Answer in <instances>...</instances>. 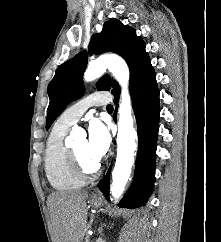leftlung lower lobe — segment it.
Here are the masks:
<instances>
[{
    "label": "left lung lower lobe",
    "mask_w": 221,
    "mask_h": 242,
    "mask_svg": "<svg viewBox=\"0 0 221 242\" xmlns=\"http://www.w3.org/2000/svg\"><path fill=\"white\" fill-rule=\"evenodd\" d=\"M132 106L137 121L139 147L135 177L131 188L119 206L136 208L146 203L155 181L156 141L159 123V90L156 75L151 65L134 75L130 80ZM117 104L120 90L112 93ZM116 112L114 118H116ZM109 173L100 182L99 188L109 200Z\"/></svg>",
    "instance_id": "0a47b994"
}]
</instances>
